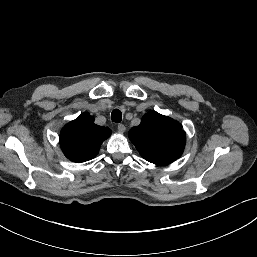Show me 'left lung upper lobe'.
<instances>
[{"mask_svg":"<svg viewBox=\"0 0 257 257\" xmlns=\"http://www.w3.org/2000/svg\"><path fill=\"white\" fill-rule=\"evenodd\" d=\"M129 138L144 159L157 165L179 158L186 142L181 124L155 111L143 116L140 125L129 131Z\"/></svg>","mask_w":257,"mask_h":257,"instance_id":"obj_1","label":"left lung upper lobe"}]
</instances>
